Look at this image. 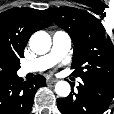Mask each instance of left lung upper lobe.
Masks as SVG:
<instances>
[{"mask_svg": "<svg viewBox=\"0 0 114 114\" xmlns=\"http://www.w3.org/2000/svg\"><path fill=\"white\" fill-rule=\"evenodd\" d=\"M46 12L73 40L72 75L114 84V46L104 35L101 22L72 7L51 8Z\"/></svg>", "mask_w": 114, "mask_h": 114, "instance_id": "obj_1", "label": "left lung upper lobe"}]
</instances>
